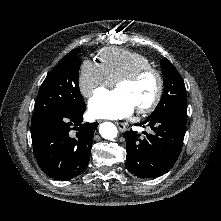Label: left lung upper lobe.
Masks as SVG:
<instances>
[{
	"instance_id": "obj_1",
	"label": "left lung upper lobe",
	"mask_w": 221,
	"mask_h": 221,
	"mask_svg": "<svg viewBox=\"0 0 221 221\" xmlns=\"http://www.w3.org/2000/svg\"><path fill=\"white\" fill-rule=\"evenodd\" d=\"M161 67L164 76L163 96L149 118L163 115L176 108H186V89L184 82L172 63L163 58Z\"/></svg>"
}]
</instances>
